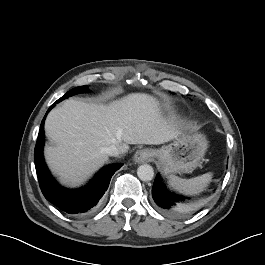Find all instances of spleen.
Instances as JSON below:
<instances>
[{
  "label": "spleen",
  "mask_w": 265,
  "mask_h": 265,
  "mask_svg": "<svg viewBox=\"0 0 265 265\" xmlns=\"http://www.w3.org/2000/svg\"><path fill=\"white\" fill-rule=\"evenodd\" d=\"M212 180V173H205L190 179H183L175 175L169 176V185L176 191L187 195H195L202 192Z\"/></svg>",
  "instance_id": "3e777b00"
}]
</instances>
